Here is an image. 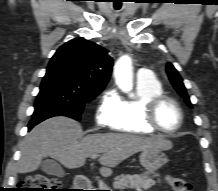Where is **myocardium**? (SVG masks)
Segmentation results:
<instances>
[{
  "label": "myocardium",
  "instance_id": "myocardium-1",
  "mask_svg": "<svg viewBox=\"0 0 218 191\" xmlns=\"http://www.w3.org/2000/svg\"><path fill=\"white\" fill-rule=\"evenodd\" d=\"M164 102L172 103L179 112V124L175 129L166 130L162 128L157 121V110L159 106ZM144 120L145 123L154 131L160 132L166 135H172L180 131L184 123V111L180 103L174 98L165 94H159L149 98L144 105Z\"/></svg>",
  "mask_w": 218,
  "mask_h": 191
}]
</instances>
